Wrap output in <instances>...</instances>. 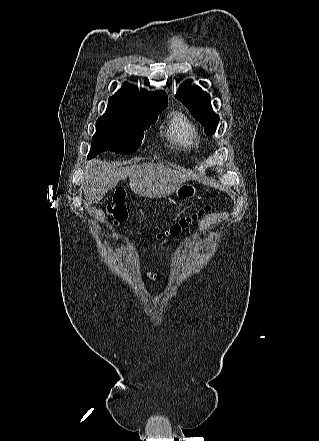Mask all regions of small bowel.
I'll use <instances>...</instances> for the list:
<instances>
[{"mask_svg":"<svg viewBox=\"0 0 319 441\" xmlns=\"http://www.w3.org/2000/svg\"><path fill=\"white\" fill-rule=\"evenodd\" d=\"M146 277L149 278V279H151V280H155V278H156L155 275L150 274V273H147V274H146Z\"/></svg>","mask_w":319,"mask_h":441,"instance_id":"1","label":"small bowel"}]
</instances>
